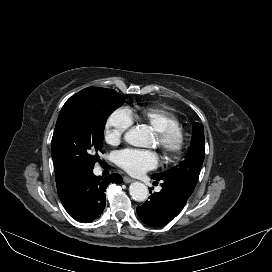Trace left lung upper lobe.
Here are the masks:
<instances>
[{"label":"left lung upper lobe","instance_id":"obj_1","mask_svg":"<svg viewBox=\"0 0 272 272\" xmlns=\"http://www.w3.org/2000/svg\"><path fill=\"white\" fill-rule=\"evenodd\" d=\"M204 140L203 125L198 122L194 123L191 147L185 157V160L179 165L165 172L153 174L152 177L175 181L194 190L204 161Z\"/></svg>","mask_w":272,"mask_h":272}]
</instances>
